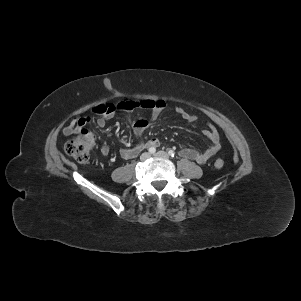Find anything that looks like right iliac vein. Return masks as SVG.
<instances>
[{
  "label": "right iliac vein",
  "mask_w": 301,
  "mask_h": 301,
  "mask_svg": "<svg viewBox=\"0 0 301 301\" xmlns=\"http://www.w3.org/2000/svg\"><path fill=\"white\" fill-rule=\"evenodd\" d=\"M149 156H150V154L147 153V152H145V153L141 154L140 160H141V161H145L146 159L149 158Z\"/></svg>",
  "instance_id": "1"
}]
</instances>
